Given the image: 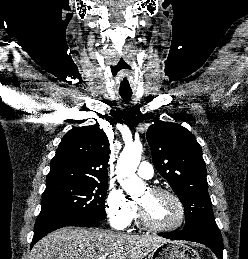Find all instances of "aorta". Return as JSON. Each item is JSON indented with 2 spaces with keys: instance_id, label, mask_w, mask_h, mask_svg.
I'll return each instance as SVG.
<instances>
[{
  "instance_id": "762f6f07",
  "label": "aorta",
  "mask_w": 248,
  "mask_h": 259,
  "mask_svg": "<svg viewBox=\"0 0 248 259\" xmlns=\"http://www.w3.org/2000/svg\"><path fill=\"white\" fill-rule=\"evenodd\" d=\"M142 144L134 142L126 145L116 166L117 180L127 194L134 197L144 188L143 181L135 174L141 160Z\"/></svg>"
}]
</instances>
